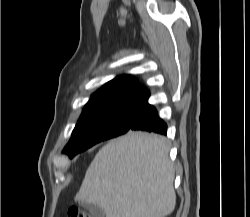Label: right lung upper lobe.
<instances>
[{
  "instance_id": "1",
  "label": "right lung upper lobe",
  "mask_w": 250,
  "mask_h": 217,
  "mask_svg": "<svg viewBox=\"0 0 250 217\" xmlns=\"http://www.w3.org/2000/svg\"><path fill=\"white\" fill-rule=\"evenodd\" d=\"M148 97L149 92L135 78L131 75H121L91 96L81 117L105 110L142 105Z\"/></svg>"
}]
</instances>
